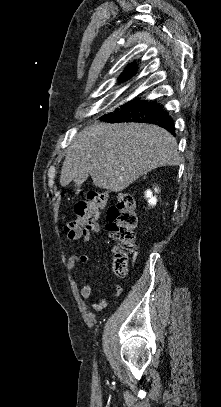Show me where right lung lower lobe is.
<instances>
[{
	"instance_id": "98d812e1",
	"label": "right lung lower lobe",
	"mask_w": 221,
	"mask_h": 407,
	"mask_svg": "<svg viewBox=\"0 0 221 407\" xmlns=\"http://www.w3.org/2000/svg\"><path fill=\"white\" fill-rule=\"evenodd\" d=\"M109 122H142L152 123L165 128L175 135L172 118L167 111L154 101L139 99L131 100L113 113L107 114L102 118Z\"/></svg>"
}]
</instances>
